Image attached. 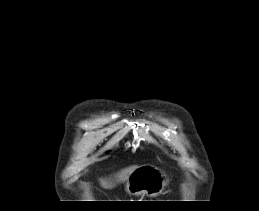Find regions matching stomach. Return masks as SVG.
Listing matches in <instances>:
<instances>
[{"mask_svg": "<svg viewBox=\"0 0 259 211\" xmlns=\"http://www.w3.org/2000/svg\"><path fill=\"white\" fill-rule=\"evenodd\" d=\"M166 180L164 173L156 166L137 167L129 176L125 190L130 195L158 196L164 192Z\"/></svg>", "mask_w": 259, "mask_h": 211, "instance_id": "0dacf381", "label": "stomach"}]
</instances>
